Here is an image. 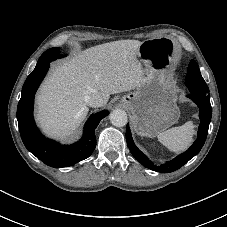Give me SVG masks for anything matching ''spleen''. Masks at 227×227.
I'll return each mask as SVG.
<instances>
[{
	"label": "spleen",
	"mask_w": 227,
	"mask_h": 227,
	"mask_svg": "<svg viewBox=\"0 0 227 227\" xmlns=\"http://www.w3.org/2000/svg\"><path fill=\"white\" fill-rule=\"evenodd\" d=\"M194 125L188 121L182 126L173 127L158 134V140L173 152L186 150L193 141Z\"/></svg>",
	"instance_id": "1"
}]
</instances>
